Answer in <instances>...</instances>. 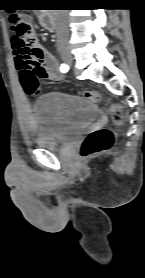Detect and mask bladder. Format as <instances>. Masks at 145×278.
<instances>
[{
	"label": "bladder",
	"mask_w": 145,
	"mask_h": 278,
	"mask_svg": "<svg viewBox=\"0 0 145 278\" xmlns=\"http://www.w3.org/2000/svg\"><path fill=\"white\" fill-rule=\"evenodd\" d=\"M100 113L94 101L63 92L47 93L37 99L33 117L34 145L47 150L58 149L82 134Z\"/></svg>",
	"instance_id": "31cf9c89"
}]
</instances>
